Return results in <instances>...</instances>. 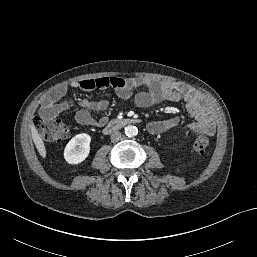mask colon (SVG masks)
<instances>
[{"label": "colon", "instance_id": "1", "mask_svg": "<svg viewBox=\"0 0 257 257\" xmlns=\"http://www.w3.org/2000/svg\"><path fill=\"white\" fill-rule=\"evenodd\" d=\"M35 128L46 141L56 142L66 139L70 135L67 124L49 110H42L41 114L35 118ZM209 145L208 134L204 133L194 142V150L203 152Z\"/></svg>", "mask_w": 257, "mask_h": 257}]
</instances>
